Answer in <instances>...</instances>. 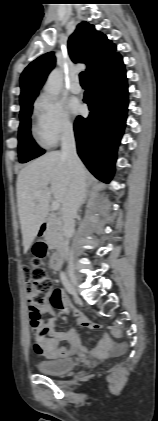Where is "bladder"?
<instances>
[{"mask_svg":"<svg viewBox=\"0 0 158 421\" xmlns=\"http://www.w3.org/2000/svg\"><path fill=\"white\" fill-rule=\"evenodd\" d=\"M76 365L72 357L39 360L36 367L39 372L47 375H61L71 371Z\"/></svg>","mask_w":158,"mask_h":421,"instance_id":"obj_1","label":"bladder"}]
</instances>
